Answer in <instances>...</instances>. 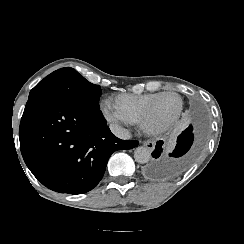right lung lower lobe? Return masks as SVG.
<instances>
[{"mask_svg":"<svg viewBox=\"0 0 244 244\" xmlns=\"http://www.w3.org/2000/svg\"><path fill=\"white\" fill-rule=\"evenodd\" d=\"M106 124L99 107L58 98L29 99L19 129L23 159L51 190L90 191L102 179L114 151L138 145L115 137Z\"/></svg>","mask_w":244,"mask_h":244,"instance_id":"98d812e1","label":"right lung lower lobe"}]
</instances>
